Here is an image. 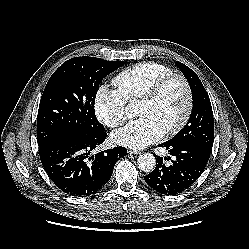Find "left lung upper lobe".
Instances as JSON below:
<instances>
[{
  "label": "left lung upper lobe",
  "instance_id": "obj_1",
  "mask_svg": "<svg viewBox=\"0 0 249 249\" xmlns=\"http://www.w3.org/2000/svg\"><path fill=\"white\" fill-rule=\"evenodd\" d=\"M176 66L186 77L192 91L193 110L185 125L171 141L194 144L211 152L214 140V119L209 96L197 74L181 62Z\"/></svg>",
  "mask_w": 249,
  "mask_h": 249
}]
</instances>
